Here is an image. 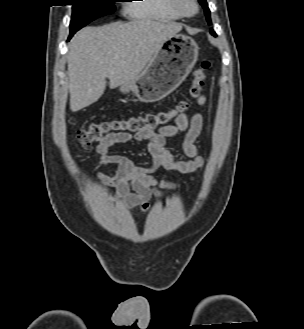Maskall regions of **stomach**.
<instances>
[{
	"mask_svg": "<svg viewBox=\"0 0 304 329\" xmlns=\"http://www.w3.org/2000/svg\"><path fill=\"white\" fill-rule=\"evenodd\" d=\"M199 47L194 39L175 34L160 45L142 73L120 91H132L145 103L162 100L173 92L188 76L198 58Z\"/></svg>",
	"mask_w": 304,
	"mask_h": 329,
	"instance_id": "stomach-1",
	"label": "stomach"
}]
</instances>
